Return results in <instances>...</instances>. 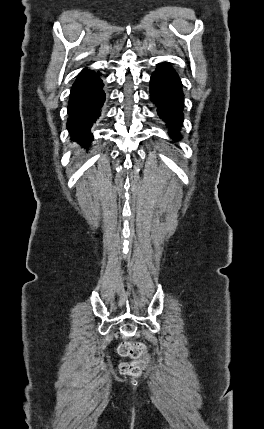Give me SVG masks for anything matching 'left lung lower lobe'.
Instances as JSON below:
<instances>
[{"label": "left lung lower lobe", "mask_w": 264, "mask_h": 429, "mask_svg": "<svg viewBox=\"0 0 264 429\" xmlns=\"http://www.w3.org/2000/svg\"><path fill=\"white\" fill-rule=\"evenodd\" d=\"M178 74L170 63H160L150 80V98L157 107V113L171 129L169 135L179 138L183 122L184 96Z\"/></svg>", "instance_id": "0a47b994"}]
</instances>
